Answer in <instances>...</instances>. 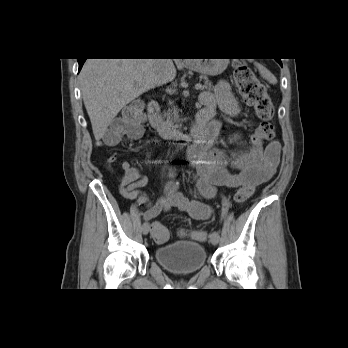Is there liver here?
I'll use <instances>...</instances> for the list:
<instances>
[{"instance_id":"liver-1","label":"liver","mask_w":348,"mask_h":348,"mask_svg":"<svg viewBox=\"0 0 348 348\" xmlns=\"http://www.w3.org/2000/svg\"><path fill=\"white\" fill-rule=\"evenodd\" d=\"M176 77L171 59L162 70L155 59H87L80 72L85 108L95 139L100 140L111 121L128 103Z\"/></svg>"}]
</instances>
